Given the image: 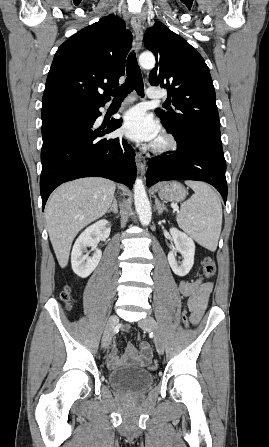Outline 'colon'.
Masks as SVG:
<instances>
[{
  "label": "colon",
  "instance_id": "1",
  "mask_svg": "<svg viewBox=\"0 0 269 447\" xmlns=\"http://www.w3.org/2000/svg\"><path fill=\"white\" fill-rule=\"evenodd\" d=\"M202 270H203V275L206 278H208V279L212 278L215 275V273H216V264H215L214 260L212 258H210V257L204 258L203 263H202ZM69 294H70V290L67 289L65 291L64 295L67 296ZM188 318H189V316L187 314V311L185 310L184 313H183V316L181 317L180 323H181V325L185 326L184 328L186 330L189 328L187 326L188 323H189ZM151 353H152V351H151L150 347H145L143 349V354L144 355L150 356ZM146 366L148 367L149 370H155L156 367H157L156 366V362H154L153 360L148 362L146 364Z\"/></svg>",
  "mask_w": 269,
  "mask_h": 447
}]
</instances>
